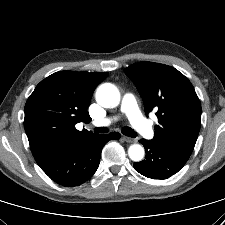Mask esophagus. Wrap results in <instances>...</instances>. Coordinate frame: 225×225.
Listing matches in <instances>:
<instances>
[{"label":"esophagus","mask_w":225,"mask_h":225,"mask_svg":"<svg viewBox=\"0 0 225 225\" xmlns=\"http://www.w3.org/2000/svg\"><path fill=\"white\" fill-rule=\"evenodd\" d=\"M123 139L127 143H135L136 142V139L135 138H131V137H127V136H123Z\"/></svg>","instance_id":"esophagus-1"}]
</instances>
